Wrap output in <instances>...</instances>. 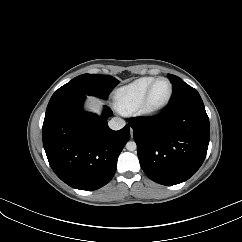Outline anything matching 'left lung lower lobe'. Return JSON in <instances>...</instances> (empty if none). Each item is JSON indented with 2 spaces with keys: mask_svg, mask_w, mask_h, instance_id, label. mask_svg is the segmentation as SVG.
Wrapping results in <instances>:
<instances>
[{
  "mask_svg": "<svg viewBox=\"0 0 242 242\" xmlns=\"http://www.w3.org/2000/svg\"><path fill=\"white\" fill-rule=\"evenodd\" d=\"M140 165L162 185L189 179L202 165L210 139L209 118L201 97L169 104L154 117L129 120Z\"/></svg>",
  "mask_w": 242,
  "mask_h": 242,
  "instance_id": "obj_1",
  "label": "left lung lower lobe"
}]
</instances>
